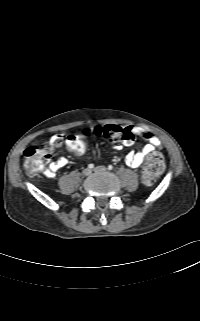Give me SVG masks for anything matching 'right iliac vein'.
Here are the masks:
<instances>
[{
    "label": "right iliac vein",
    "instance_id": "right-iliac-vein-1",
    "mask_svg": "<svg viewBox=\"0 0 200 321\" xmlns=\"http://www.w3.org/2000/svg\"><path fill=\"white\" fill-rule=\"evenodd\" d=\"M90 174H91V169L85 168V169L83 170V175L88 176V175H90Z\"/></svg>",
    "mask_w": 200,
    "mask_h": 321
}]
</instances>
